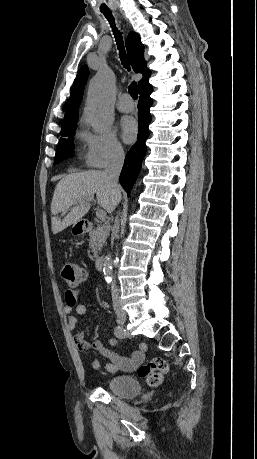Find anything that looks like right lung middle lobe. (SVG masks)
I'll return each instance as SVG.
<instances>
[{
  "mask_svg": "<svg viewBox=\"0 0 257 459\" xmlns=\"http://www.w3.org/2000/svg\"><path fill=\"white\" fill-rule=\"evenodd\" d=\"M76 127L77 126H74L70 129L61 132L62 137L60 138L55 156L56 163L61 162L62 160L66 159L68 156L73 154V138Z\"/></svg>",
  "mask_w": 257,
  "mask_h": 459,
  "instance_id": "1",
  "label": "right lung middle lobe"
}]
</instances>
